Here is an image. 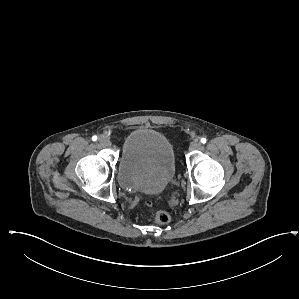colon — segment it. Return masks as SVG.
<instances>
[{
    "mask_svg": "<svg viewBox=\"0 0 299 299\" xmlns=\"http://www.w3.org/2000/svg\"><path fill=\"white\" fill-rule=\"evenodd\" d=\"M147 205H151V203H147ZM153 220L158 224H168L171 220L170 215L166 211H157L153 215Z\"/></svg>",
    "mask_w": 299,
    "mask_h": 299,
    "instance_id": "colon-1",
    "label": "colon"
}]
</instances>
